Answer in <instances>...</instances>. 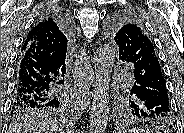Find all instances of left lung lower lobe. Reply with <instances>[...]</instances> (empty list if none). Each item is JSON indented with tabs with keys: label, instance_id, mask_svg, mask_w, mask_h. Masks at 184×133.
Segmentation results:
<instances>
[{
	"label": "left lung lower lobe",
	"instance_id": "obj_1",
	"mask_svg": "<svg viewBox=\"0 0 184 133\" xmlns=\"http://www.w3.org/2000/svg\"><path fill=\"white\" fill-rule=\"evenodd\" d=\"M135 83L131 89V114L138 118H166L171 104L162 70L140 58L134 63Z\"/></svg>",
	"mask_w": 184,
	"mask_h": 133
}]
</instances>
